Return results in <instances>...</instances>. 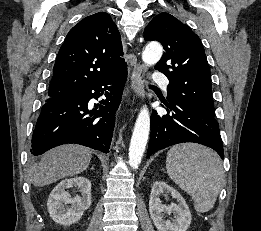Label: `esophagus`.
<instances>
[{
	"label": "esophagus",
	"instance_id": "obj_1",
	"mask_svg": "<svg viewBox=\"0 0 261 231\" xmlns=\"http://www.w3.org/2000/svg\"><path fill=\"white\" fill-rule=\"evenodd\" d=\"M144 65L137 63L131 72V89L140 99L144 97Z\"/></svg>",
	"mask_w": 261,
	"mask_h": 231
}]
</instances>
